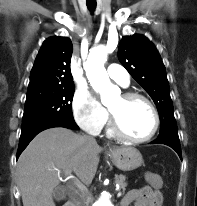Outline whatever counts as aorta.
Segmentation results:
<instances>
[{
    "label": "aorta",
    "instance_id": "762f6f07",
    "mask_svg": "<svg viewBox=\"0 0 197 206\" xmlns=\"http://www.w3.org/2000/svg\"><path fill=\"white\" fill-rule=\"evenodd\" d=\"M106 60L107 51L105 46H98L91 50L87 61L84 63L87 78L93 89L100 93L103 104L109 101L110 91L113 88L104 68ZM94 206H113L110 195L103 192L95 201Z\"/></svg>",
    "mask_w": 197,
    "mask_h": 206
}]
</instances>
